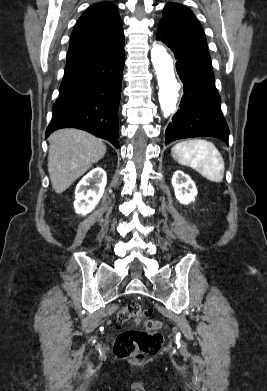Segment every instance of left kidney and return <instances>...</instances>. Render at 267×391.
<instances>
[{
    "label": "left kidney",
    "mask_w": 267,
    "mask_h": 391,
    "mask_svg": "<svg viewBox=\"0 0 267 391\" xmlns=\"http://www.w3.org/2000/svg\"><path fill=\"white\" fill-rule=\"evenodd\" d=\"M172 186L174 188L176 199L184 205L195 200L197 189L191 178L184 172L177 170L172 177Z\"/></svg>",
    "instance_id": "left-kidney-1"
}]
</instances>
